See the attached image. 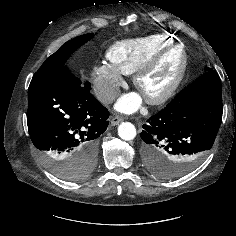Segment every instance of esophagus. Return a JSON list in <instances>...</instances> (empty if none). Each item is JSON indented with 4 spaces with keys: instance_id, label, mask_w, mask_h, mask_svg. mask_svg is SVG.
<instances>
[{
    "instance_id": "esophagus-1",
    "label": "esophagus",
    "mask_w": 236,
    "mask_h": 236,
    "mask_svg": "<svg viewBox=\"0 0 236 236\" xmlns=\"http://www.w3.org/2000/svg\"><path fill=\"white\" fill-rule=\"evenodd\" d=\"M123 117L120 116H114L111 118V124L112 125H118L119 123H121L123 121Z\"/></svg>"
}]
</instances>
